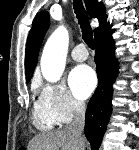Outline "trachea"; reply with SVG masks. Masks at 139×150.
Wrapping results in <instances>:
<instances>
[{"mask_svg":"<svg viewBox=\"0 0 139 150\" xmlns=\"http://www.w3.org/2000/svg\"><path fill=\"white\" fill-rule=\"evenodd\" d=\"M74 10L76 17L78 18L80 27L82 29V36L84 42L89 48H94L93 32L89 23L88 15L84 9L82 0H73Z\"/></svg>","mask_w":139,"mask_h":150,"instance_id":"obj_1","label":"trachea"}]
</instances>
